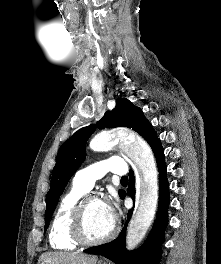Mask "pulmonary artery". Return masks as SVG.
Listing matches in <instances>:
<instances>
[{"mask_svg": "<svg viewBox=\"0 0 221 264\" xmlns=\"http://www.w3.org/2000/svg\"><path fill=\"white\" fill-rule=\"evenodd\" d=\"M108 172L125 175L126 165L123 159L119 157H111L96 163H93L79 171L76 172L73 183L89 191L96 180L102 178Z\"/></svg>", "mask_w": 221, "mask_h": 264, "instance_id": "obj_1", "label": "pulmonary artery"}]
</instances>
